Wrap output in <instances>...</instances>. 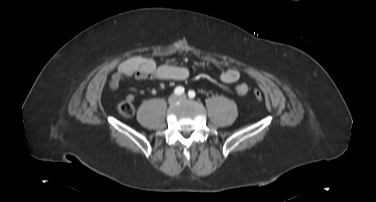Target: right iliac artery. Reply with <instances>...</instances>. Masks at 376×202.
<instances>
[{
  "label": "right iliac artery",
  "mask_w": 376,
  "mask_h": 202,
  "mask_svg": "<svg viewBox=\"0 0 376 202\" xmlns=\"http://www.w3.org/2000/svg\"><path fill=\"white\" fill-rule=\"evenodd\" d=\"M174 93L176 95H181V94L184 93V88L182 86H178V87L175 88Z\"/></svg>",
  "instance_id": "1"
}]
</instances>
